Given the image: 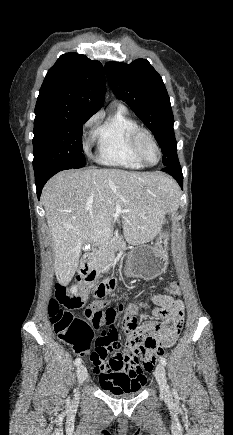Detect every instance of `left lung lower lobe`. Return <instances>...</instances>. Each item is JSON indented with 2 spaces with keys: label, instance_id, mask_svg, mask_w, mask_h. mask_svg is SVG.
<instances>
[{
  "label": "left lung lower lobe",
  "instance_id": "obj_1",
  "mask_svg": "<svg viewBox=\"0 0 233 435\" xmlns=\"http://www.w3.org/2000/svg\"><path fill=\"white\" fill-rule=\"evenodd\" d=\"M162 171L169 173L183 187V175L179 163L166 167Z\"/></svg>",
  "mask_w": 233,
  "mask_h": 435
}]
</instances>
